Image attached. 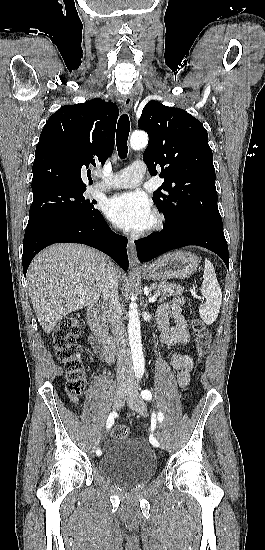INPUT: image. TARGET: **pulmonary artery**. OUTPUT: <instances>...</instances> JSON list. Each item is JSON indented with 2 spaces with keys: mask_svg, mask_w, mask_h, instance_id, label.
<instances>
[{
  "mask_svg": "<svg viewBox=\"0 0 265 550\" xmlns=\"http://www.w3.org/2000/svg\"><path fill=\"white\" fill-rule=\"evenodd\" d=\"M146 168L143 162L134 161L129 167L115 174L110 180L99 182L92 186V191H105L111 189L133 188L140 184Z\"/></svg>",
  "mask_w": 265,
  "mask_h": 550,
  "instance_id": "obj_1",
  "label": "pulmonary artery"
}]
</instances>
